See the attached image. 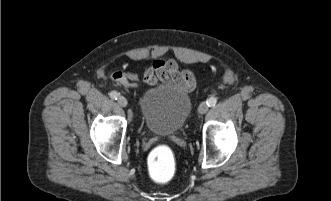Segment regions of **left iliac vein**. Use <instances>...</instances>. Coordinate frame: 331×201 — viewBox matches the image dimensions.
Returning a JSON list of instances; mask_svg holds the SVG:
<instances>
[{
  "instance_id": "left-iliac-vein-1",
  "label": "left iliac vein",
  "mask_w": 331,
  "mask_h": 201,
  "mask_svg": "<svg viewBox=\"0 0 331 201\" xmlns=\"http://www.w3.org/2000/svg\"><path fill=\"white\" fill-rule=\"evenodd\" d=\"M209 109V106L207 105V103L205 102H202L200 105H199V108H198V112L200 114H205Z\"/></svg>"
}]
</instances>
